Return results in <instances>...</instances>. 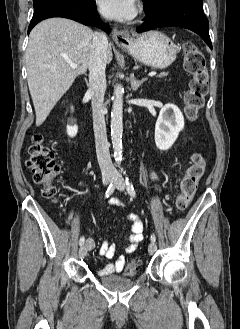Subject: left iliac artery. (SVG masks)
Instances as JSON below:
<instances>
[{
  "mask_svg": "<svg viewBox=\"0 0 240 329\" xmlns=\"http://www.w3.org/2000/svg\"><path fill=\"white\" fill-rule=\"evenodd\" d=\"M122 171H123V174L125 175V183H126V186H127V191H128L130 196L135 197V194H136L135 189H134L132 183L130 182L128 176L126 175V171H124L123 169H122ZM151 241L152 242L156 241V236L154 234L151 235Z\"/></svg>",
  "mask_w": 240,
  "mask_h": 329,
  "instance_id": "obj_1",
  "label": "left iliac artery"
}]
</instances>
